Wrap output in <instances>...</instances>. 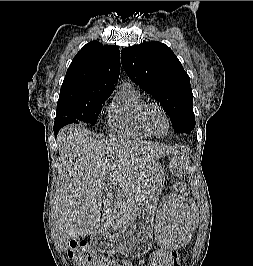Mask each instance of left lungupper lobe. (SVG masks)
Segmentation results:
<instances>
[{
  "label": "left lung upper lobe",
  "mask_w": 253,
  "mask_h": 266,
  "mask_svg": "<svg viewBox=\"0 0 253 266\" xmlns=\"http://www.w3.org/2000/svg\"><path fill=\"white\" fill-rule=\"evenodd\" d=\"M121 63L129 78L160 103L176 132L194 129L189 76L169 47L156 41L127 47L121 51Z\"/></svg>",
  "instance_id": "obj_1"
}]
</instances>
